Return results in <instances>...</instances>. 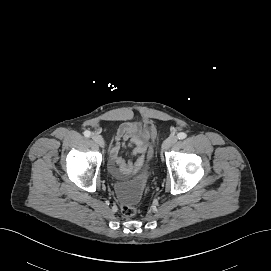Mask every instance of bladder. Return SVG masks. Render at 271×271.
I'll return each instance as SVG.
<instances>
[{
	"instance_id": "obj_1",
	"label": "bladder",
	"mask_w": 271,
	"mask_h": 271,
	"mask_svg": "<svg viewBox=\"0 0 271 271\" xmlns=\"http://www.w3.org/2000/svg\"><path fill=\"white\" fill-rule=\"evenodd\" d=\"M147 174H142L129 182H118L114 185L116 198L127 204H135L140 201L147 184Z\"/></svg>"
}]
</instances>
